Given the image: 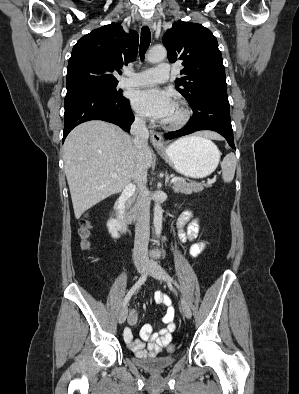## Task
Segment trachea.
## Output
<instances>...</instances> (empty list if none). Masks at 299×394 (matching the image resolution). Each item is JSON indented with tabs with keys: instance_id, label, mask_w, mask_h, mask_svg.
I'll use <instances>...</instances> for the list:
<instances>
[{
	"instance_id": "obj_1",
	"label": "trachea",
	"mask_w": 299,
	"mask_h": 394,
	"mask_svg": "<svg viewBox=\"0 0 299 394\" xmlns=\"http://www.w3.org/2000/svg\"><path fill=\"white\" fill-rule=\"evenodd\" d=\"M151 33L148 26H143L141 29V38H140V48L139 55L141 60L144 59V55L150 45Z\"/></svg>"
}]
</instances>
